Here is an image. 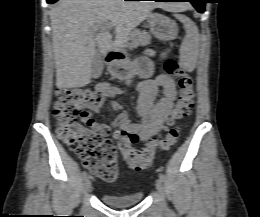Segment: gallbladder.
I'll list each match as a JSON object with an SVG mask.
<instances>
[{
  "instance_id": "bac80fb5",
  "label": "gallbladder",
  "mask_w": 260,
  "mask_h": 217,
  "mask_svg": "<svg viewBox=\"0 0 260 217\" xmlns=\"http://www.w3.org/2000/svg\"><path fill=\"white\" fill-rule=\"evenodd\" d=\"M104 65L102 61V55L99 51H96L91 65V77L97 79L101 76Z\"/></svg>"
}]
</instances>
